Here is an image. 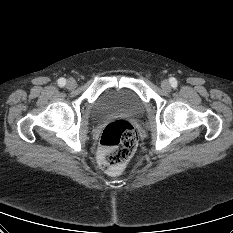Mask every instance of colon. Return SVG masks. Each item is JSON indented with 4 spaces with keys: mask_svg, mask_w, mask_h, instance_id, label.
Segmentation results:
<instances>
[{
    "mask_svg": "<svg viewBox=\"0 0 233 233\" xmlns=\"http://www.w3.org/2000/svg\"><path fill=\"white\" fill-rule=\"evenodd\" d=\"M138 136L134 126L123 119L110 122L100 138L99 165L113 172L120 169L134 154Z\"/></svg>",
    "mask_w": 233,
    "mask_h": 233,
    "instance_id": "colon-1",
    "label": "colon"
}]
</instances>
